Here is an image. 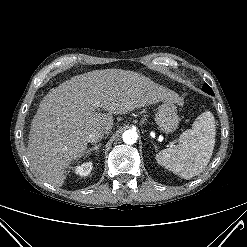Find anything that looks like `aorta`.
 <instances>
[{
	"mask_svg": "<svg viewBox=\"0 0 247 247\" xmlns=\"http://www.w3.org/2000/svg\"><path fill=\"white\" fill-rule=\"evenodd\" d=\"M123 141L126 144H134L136 143L137 139H138V134L135 130H126L123 135H122Z\"/></svg>",
	"mask_w": 247,
	"mask_h": 247,
	"instance_id": "aorta-1",
	"label": "aorta"
}]
</instances>
